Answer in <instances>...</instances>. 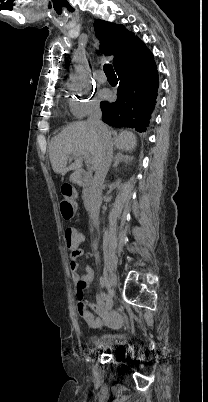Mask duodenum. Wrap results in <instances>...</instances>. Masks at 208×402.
I'll return each mask as SVG.
<instances>
[{"instance_id": "duodenum-1", "label": "duodenum", "mask_w": 208, "mask_h": 402, "mask_svg": "<svg viewBox=\"0 0 208 402\" xmlns=\"http://www.w3.org/2000/svg\"><path fill=\"white\" fill-rule=\"evenodd\" d=\"M76 180L79 185L84 187V205L86 208H90L92 205V192L89 185L90 177L86 172L79 170L76 172Z\"/></svg>"}]
</instances>
